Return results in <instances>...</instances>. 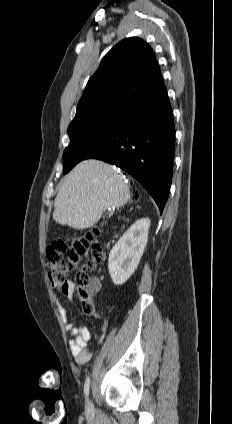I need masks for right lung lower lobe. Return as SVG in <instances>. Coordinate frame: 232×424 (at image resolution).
<instances>
[{
  "label": "right lung lower lobe",
  "mask_w": 232,
  "mask_h": 424,
  "mask_svg": "<svg viewBox=\"0 0 232 424\" xmlns=\"http://www.w3.org/2000/svg\"><path fill=\"white\" fill-rule=\"evenodd\" d=\"M175 127L166 87L134 103L126 123L85 159L114 164L138 180L162 213L167 201L174 158Z\"/></svg>",
  "instance_id": "right-lung-lower-lobe-1"
}]
</instances>
